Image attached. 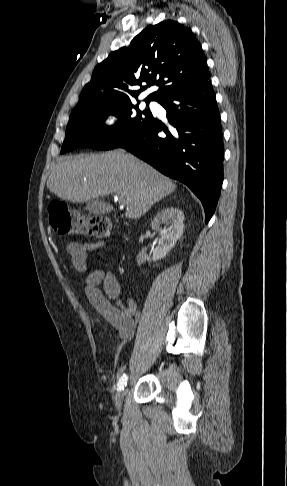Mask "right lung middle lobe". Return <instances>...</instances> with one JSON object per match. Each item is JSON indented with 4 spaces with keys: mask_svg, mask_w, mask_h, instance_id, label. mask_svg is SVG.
I'll return each mask as SVG.
<instances>
[{
    "mask_svg": "<svg viewBox=\"0 0 287 486\" xmlns=\"http://www.w3.org/2000/svg\"><path fill=\"white\" fill-rule=\"evenodd\" d=\"M149 104L150 100H145ZM132 99L105 102L71 112L61 154L78 146L110 150L127 141L153 116L148 110L139 111ZM137 113H135V111ZM118 120L109 127L104 123L108 115Z\"/></svg>",
    "mask_w": 287,
    "mask_h": 486,
    "instance_id": "obj_1",
    "label": "right lung middle lobe"
}]
</instances>
